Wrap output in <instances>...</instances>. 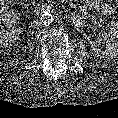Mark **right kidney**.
<instances>
[{
  "label": "right kidney",
  "instance_id": "obj_1",
  "mask_svg": "<svg viewBox=\"0 0 118 118\" xmlns=\"http://www.w3.org/2000/svg\"><path fill=\"white\" fill-rule=\"evenodd\" d=\"M19 38L17 30L9 29L0 31V46L7 47L14 43Z\"/></svg>",
  "mask_w": 118,
  "mask_h": 118
}]
</instances>
